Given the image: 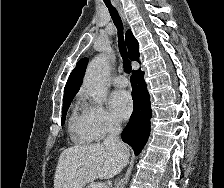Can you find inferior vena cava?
<instances>
[{
	"label": "inferior vena cava",
	"mask_w": 224,
	"mask_h": 188,
	"mask_svg": "<svg viewBox=\"0 0 224 188\" xmlns=\"http://www.w3.org/2000/svg\"><path fill=\"white\" fill-rule=\"evenodd\" d=\"M121 127L115 120H111L108 128V137L104 140V145L109 147L126 148V145L120 140L119 134Z\"/></svg>",
	"instance_id": "602c4592"
}]
</instances>
